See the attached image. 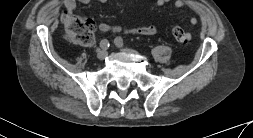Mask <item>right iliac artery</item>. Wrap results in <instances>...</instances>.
<instances>
[{"instance_id": "1", "label": "right iliac artery", "mask_w": 253, "mask_h": 138, "mask_svg": "<svg viewBox=\"0 0 253 138\" xmlns=\"http://www.w3.org/2000/svg\"><path fill=\"white\" fill-rule=\"evenodd\" d=\"M109 46H110V44L107 39L101 40V42H100L101 49L106 50V49H108Z\"/></svg>"}]
</instances>
